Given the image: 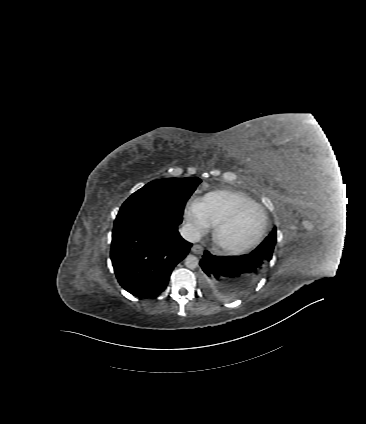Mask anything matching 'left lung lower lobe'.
Instances as JSON below:
<instances>
[{
    "label": "left lung lower lobe",
    "instance_id": "0a47b994",
    "mask_svg": "<svg viewBox=\"0 0 366 424\" xmlns=\"http://www.w3.org/2000/svg\"><path fill=\"white\" fill-rule=\"evenodd\" d=\"M202 284L214 296H234L235 279L242 275L254 276L266 266L263 257L252 252L241 256L218 257L205 251L200 261Z\"/></svg>",
    "mask_w": 366,
    "mask_h": 424
}]
</instances>
